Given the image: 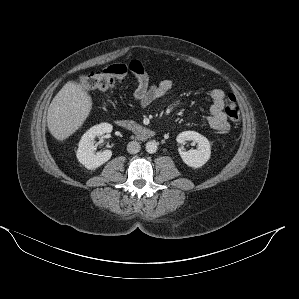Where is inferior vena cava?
<instances>
[{"mask_svg": "<svg viewBox=\"0 0 299 299\" xmlns=\"http://www.w3.org/2000/svg\"><path fill=\"white\" fill-rule=\"evenodd\" d=\"M140 149H141V145L137 141H131L127 145V151L130 154H136L140 151Z\"/></svg>", "mask_w": 299, "mask_h": 299, "instance_id": "inferior-vena-cava-1", "label": "inferior vena cava"}]
</instances>
